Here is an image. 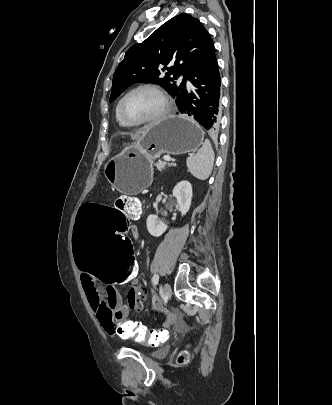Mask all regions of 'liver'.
I'll list each match as a JSON object with an SVG mask.
<instances>
[{"mask_svg":"<svg viewBox=\"0 0 332 405\" xmlns=\"http://www.w3.org/2000/svg\"><path fill=\"white\" fill-rule=\"evenodd\" d=\"M150 129V125L145 126L144 128H142L141 130H139L135 135H133V139L138 140L140 137L144 136L145 133ZM126 143H124L125 145Z\"/></svg>","mask_w":332,"mask_h":405,"instance_id":"liver-1","label":"liver"}]
</instances>
